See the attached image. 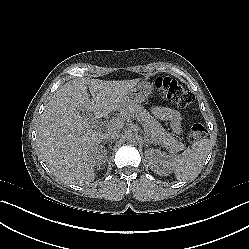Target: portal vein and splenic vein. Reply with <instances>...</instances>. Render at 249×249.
Returning a JSON list of instances; mask_svg holds the SVG:
<instances>
[{
    "mask_svg": "<svg viewBox=\"0 0 249 249\" xmlns=\"http://www.w3.org/2000/svg\"><path fill=\"white\" fill-rule=\"evenodd\" d=\"M117 124L120 125V124H122V122H121V121H118Z\"/></svg>",
    "mask_w": 249,
    "mask_h": 249,
    "instance_id": "1",
    "label": "portal vein and splenic vein"
}]
</instances>
